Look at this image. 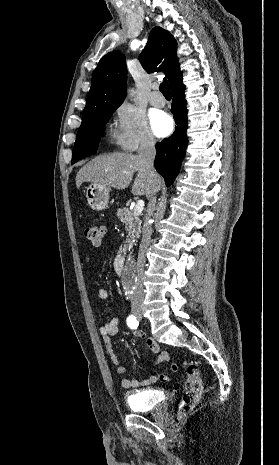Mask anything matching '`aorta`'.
<instances>
[{"label":"aorta","instance_id":"1","mask_svg":"<svg viewBox=\"0 0 279 465\" xmlns=\"http://www.w3.org/2000/svg\"><path fill=\"white\" fill-rule=\"evenodd\" d=\"M127 278H128L129 281L133 280V272L132 271L127 272Z\"/></svg>","mask_w":279,"mask_h":465}]
</instances>
